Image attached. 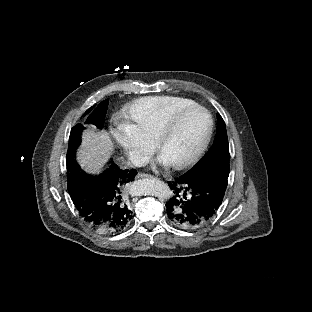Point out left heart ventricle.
<instances>
[{
	"instance_id": "obj_1",
	"label": "left heart ventricle",
	"mask_w": 312,
	"mask_h": 312,
	"mask_svg": "<svg viewBox=\"0 0 312 312\" xmlns=\"http://www.w3.org/2000/svg\"><path fill=\"white\" fill-rule=\"evenodd\" d=\"M207 118L200 111L186 113L164 143V152L171 159H180L187 148L200 147L206 138Z\"/></svg>"
}]
</instances>
